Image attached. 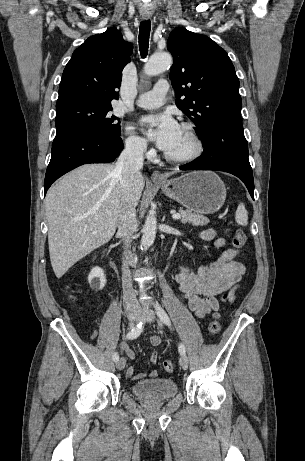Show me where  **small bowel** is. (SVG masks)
<instances>
[{
  "label": "small bowel",
  "mask_w": 305,
  "mask_h": 461,
  "mask_svg": "<svg viewBox=\"0 0 305 461\" xmlns=\"http://www.w3.org/2000/svg\"><path fill=\"white\" fill-rule=\"evenodd\" d=\"M200 238L205 241H212L214 246L222 248L226 240L218 236L214 229H206L200 233ZM239 251L236 248H226L222 254L213 262L200 266L192 271L185 267L180 268L176 282L179 286L181 297L185 300L189 310L194 312L198 318H204L220 307L219 296L226 291H231L229 301H233V291L245 273V266L236 260ZM151 348L150 362L158 364L159 358L155 347L162 342L160 336L155 335L145 339ZM120 350L129 359H134L135 354L126 343L120 345ZM131 378H141L143 374H135L132 368L127 370ZM151 377L157 376V371L150 372Z\"/></svg>",
  "instance_id": "obj_1"
}]
</instances>
